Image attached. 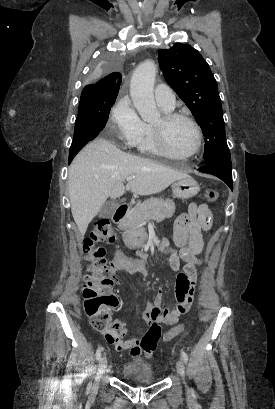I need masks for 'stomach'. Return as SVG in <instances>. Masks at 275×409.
I'll return each instance as SVG.
<instances>
[{
    "label": "stomach",
    "instance_id": "0dacf381",
    "mask_svg": "<svg viewBox=\"0 0 275 409\" xmlns=\"http://www.w3.org/2000/svg\"><path fill=\"white\" fill-rule=\"evenodd\" d=\"M199 190L200 186L197 180H194L192 176L179 178L172 186V192L177 198H191V196L198 194Z\"/></svg>",
    "mask_w": 275,
    "mask_h": 409
}]
</instances>
